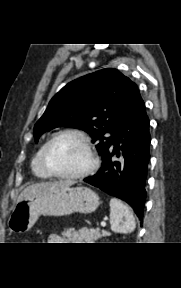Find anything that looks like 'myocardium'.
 Here are the masks:
<instances>
[{
  "mask_svg": "<svg viewBox=\"0 0 181 288\" xmlns=\"http://www.w3.org/2000/svg\"><path fill=\"white\" fill-rule=\"evenodd\" d=\"M63 136H75V137H77L82 142V144L84 145V147L87 150V154H88V158H89L88 165L84 169H82L81 171H79L77 173L63 174V173L57 172L49 163L48 153H49L50 147L53 145V143L57 139H59ZM41 159H42V164L45 167V169L53 177H57L60 179H81V178H84L87 175H89L97 167V164H98V160L96 158V155H95V152L93 150L92 143H91V139L89 138V136L85 132H83L79 129H73V128L64 129V130H61V131L55 133L44 145L43 150H42Z\"/></svg>",
  "mask_w": 181,
  "mask_h": 288,
  "instance_id": "f54148a6",
  "label": "myocardium"
}]
</instances>
